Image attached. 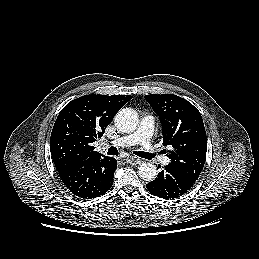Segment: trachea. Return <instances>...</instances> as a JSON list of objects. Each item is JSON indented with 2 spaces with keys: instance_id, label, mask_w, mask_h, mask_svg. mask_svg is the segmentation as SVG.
Wrapping results in <instances>:
<instances>
[{
  "instance_id": "trachea-1",
  "label": "trachea",
  "mask_w": 259,
  "mask_h": 259,
  "mask_svg": "<svg viewBox=\"0 0 259 259\" xmlns=\"http://www.w3.org/2000/svg\"><path fill=\"white\" fill-rule=\"evenodd\" d=\"M118 153L119 152H118L116 147H110L107 151V154L110 155V156H117ZM134 154L139 156V157L149 159V160L154 158V155L146 153V152H142V151H135Z\"/></svg>"
}]
</instances>
